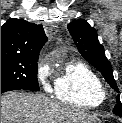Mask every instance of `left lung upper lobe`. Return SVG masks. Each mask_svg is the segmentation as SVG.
Returning a JSON list of instances; mask_svg holds the SVG:
<instances>
[{
	"label": "left lung upper lobe",
	"mask_w": 122,
	"mask_h": 123,
	"mask_svg": "<svg viewBox=\"0 0 122 123\" xmlns=\"http://www.w3.org/2000/svg\"><path fill=\"white\" fill-rule=\"evenodd\" d=\"M68 30L83 58L100 71L109 85L118 91L111 64L105 56L104 47L98 41L97 31L84 20L69 23ZM113 112L122 116V104L119 98Z\"/></svg>",
	"instance_id": "left-lung-upper-lobe-1"
}]
</instances>
